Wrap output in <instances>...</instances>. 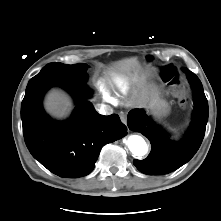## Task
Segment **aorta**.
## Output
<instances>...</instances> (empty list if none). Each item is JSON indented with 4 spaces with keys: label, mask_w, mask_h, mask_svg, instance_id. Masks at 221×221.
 <instances>
[{
    "label": "aorta",
    "mask_w": 221,
    "mask_h": 221,
    "mask_svg": "<svg viewBox=\"0 0 221 221\" xmlns=\"http://www.w3.org/2000/svg\"><path fill=\"white\" fill-rule=\"evenodd\" d=\"M127 146L130 152L135 156H144L148 152V144L144 138L139 135L129 136Z\"/></svg>",
    "instance_id": "1"
}]
</instances>
